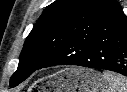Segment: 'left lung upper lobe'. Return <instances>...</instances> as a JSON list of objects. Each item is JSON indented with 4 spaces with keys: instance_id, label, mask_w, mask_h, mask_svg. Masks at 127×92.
I'll use <instances>...</instances> for the list:
<instances>
[{
    "instance_id": "1",
    "label": "left lung upper lobe",
    "mask_w": 127,
    "mask_h": 92,
    "mask_svg": "<svg viewBox=\"0 0 127 92\" xmlns=\"http://www.w3.org/2000/svg\"><path fill=\"white\" fill-rule=\"evenodd\" d=\"M119 8L115 0H56L50 4L26 38L10 87L40 69L75 35Z\"/></svg>"
}]
</instances>
